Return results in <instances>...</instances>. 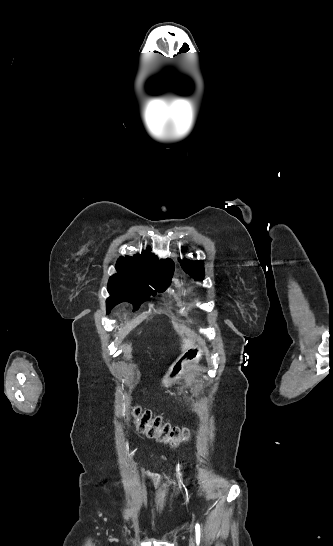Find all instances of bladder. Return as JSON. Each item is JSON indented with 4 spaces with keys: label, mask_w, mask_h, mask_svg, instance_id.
<instances>
[{
    "label": "bladder",
    "mask_w": 333,
    "mask_h": 546,
    "mask_svg": "<svg viewBox=\"0 0 333 546\" xmlns=\"http://www.w3.org/2000/svg\"><path fill=\"white\" fill-rule=\"evenodd\" d=\"M153 533H155V534H156L157 532H156V531H153Z\"/></svg>",
    "instance_id": "31cf9c89"
}]
</instances>
